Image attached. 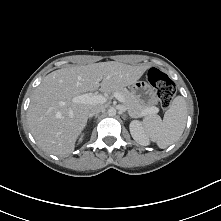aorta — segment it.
<instances>
[{"mask_svg": "<svg viewBox=\"0 0 221 221\" xmlns=\"http://www.w3.org/2000/svg\"><path fill=\"white\" fill-rule=\"evenodd\" d=\"M108 115L109 116H115L116 115V109L111 107L108 109Z\"/></svg>", "mask_w": 221, "mask_h": 221, "instance_id": "762f6f07", "label": "aorta"}]
</instances>
